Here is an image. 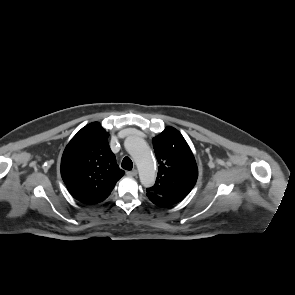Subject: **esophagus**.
<instances>
[{
	"label": "esophagus",
	"mask_w": 295,
	"mask_h": 295,
	"mask_svg": "<svg viewBox=\"0 0 295 295\" xmlns=\"http://www.w3.org/2000/svg\"><path fill=\"white\" fill-rule=\"evenodd\" d=\"M126 174L128 176H136L137 175V170L127 171Z\"/></svg>",
	"instance_id": "1"
}]
</instances>
